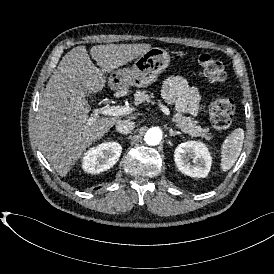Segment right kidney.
Listing matches in <instances>:
<instances>
[{
    "instance_id": "1",
    "label": "right kidney",
    "mask_w": 274,
    "mask_h": 274,
    "mask_svg": "<svg viewBox=\"0 0 274 274\" xmlns=\"http://www.w3.org/2000/svg\"><path fill=\"white\" fill-rule=\"evenodd\" d=\"M122 148L118 143H103L91 149L83 158V168L91 174H98L112 168L119 160Z\"/></svg>"
}]
</instances>
